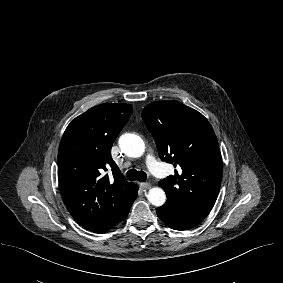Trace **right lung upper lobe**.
<instances>
[{"label": "right lung upper lobe", "instance_id": "obj_1", "mask_svg": "<svg viewBox=\"0 0 283 283\" xmlns=\"http://www.w3.org/2000/svg\"><path fill=\"white\" fill-rule=\"evenodd\" d=\"M130 104H102L76 117L66 128L58 152L64 203L84 228L103 233L130 209L138 186L128 182L111 157V147L126 125ZM111 168L113 177L104 171Z\"/></svg>", "mask_w": 283, "mask_h": 283}]
</instances>
